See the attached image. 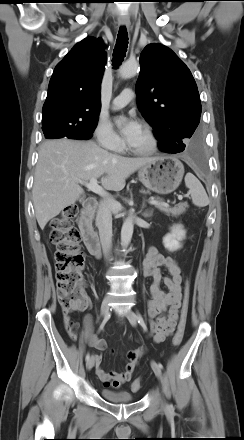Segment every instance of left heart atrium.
<instances>
[{
    "instance_id": "39dd6f15",
    "label": "left heart atrium",
    "mask_w": 244,
    "mask_h": 440,
    "mask_svg": "<svg viewBox=\"0 0 244 440\" xmlns=\"http://www.w3.org/2000/svg\"><path fill=\"white\" fill-rule=\"evenodd\" d=\"M120 126H121V133L124 137V139L131 143L139 134L141 130V126L139 123L134 119H127V120H119Z\"/></svg>"
}]
</instances>
